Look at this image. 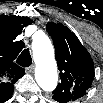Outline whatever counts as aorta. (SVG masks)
I'll return each mask as SVG.
<instances>
[{
	"label": "aorta",
	"mask_w": 103,
	"mask_h": 103,
	"mask_svg": "<svg viewBox=\"0 0 103 103\" xmlns=\"http://www.w3.org/2000/svg\"><path fill=\"white\" fill-rule=\"evenodd\" d=\"M32 50L36 64V82L44 91L51 92L58 82L57 63L52 43L44 33H41L33 40Z\"/></svg>",
	"instance_id": "aorta-1"
}]
</instances>
